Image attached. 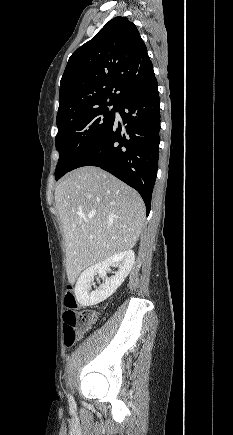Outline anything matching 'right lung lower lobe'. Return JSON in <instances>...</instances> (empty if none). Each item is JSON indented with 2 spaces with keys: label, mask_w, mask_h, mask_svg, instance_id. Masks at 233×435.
Returning <instances> with one entry per match:
<instances>
[{
  "label": "right lung lower lobe",
  "mask_w": 233,
  "mask_h": 435,
  "mask_svg": "<svg viewBox=\"0 0 233 435\" xmlns=\"http://www.w3.org/2000/svg\"><path fill=\"white\" fill-rule=\"evenodd\" d=\"M117 110L125 126L114 120L73 169L97 166L113 174L140 193L148 215L157 176L160 131V101L154 73L133 88Z\"/></svg>",
  "instance_id": "right-lung-lower-lobe-1"
}]
</instances>
